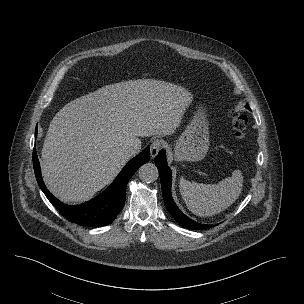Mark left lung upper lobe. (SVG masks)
<instances>
[{
	"mask_svg": "<svg viewBox=\"0 0 304 304\" xmlns=\"http://www.w3.org/2000/svg\"><path fill=\"white\" fill-rule=\"evenodd\" d=\"M247 109H250V107L248 105L245 106Z\"/></svg>",
	"mask_w": 304,
	"mask_h": 304,
	"instance_id": "5c2ea615",
	"label": "left lung upper lobe"
}]
</instances>
